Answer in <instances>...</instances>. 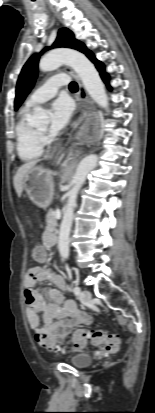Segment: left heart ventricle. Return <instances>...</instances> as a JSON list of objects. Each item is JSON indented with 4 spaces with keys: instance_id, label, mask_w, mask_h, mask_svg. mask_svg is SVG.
I'll list each match as a JSON object with an SVG mask.
<instances>
[{
    "instance_id": "b2bd125f",
    "label": "left heart ventricle",
    "mask_w": 155,
    "mask_h": 413,
    "mask_svg": "<svg viewBox=\"0 0 155 413\" xmlns=\"http://www.w3.org/2000/svg\"><path fill=\"white\" fill-rule=\"evenodd\" d=\"M39 131L45 132V131H46V128H45V127H44V128H40Z\"/></svg>"
}]
</instances>
